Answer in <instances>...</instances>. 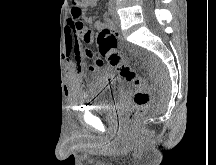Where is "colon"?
I'll return each mask as SVG.
<instances>
[{
	"label": "colon",
	"mask_w": 216,
	"mask_h": 165,
	"mask_svg": "<svg viewBox=\"0 0 216 165\" xmlns=\"http://www.w3.org/2000/svg\"><path fill=\"white\" fill-rule=\"evenodd\" d=\"M72 3L73 7L80 10L86 5L87 0H72ZM96 41L97 52L89 48H84L82 51L83 56L92 61L88 67L89 71L96 72L105 66L116 70L120 77L134 88V105L131 110V119L140 118L147 111L150 104L149 83L125 61L124 56L118 50V38L110 29L106 27L100 28Z\"/></svg>",
	"instance_id": "1"
}]
</instances>
